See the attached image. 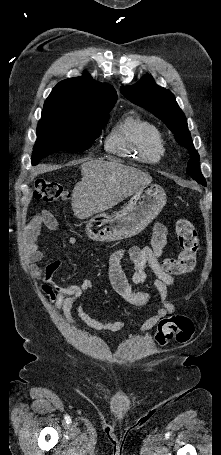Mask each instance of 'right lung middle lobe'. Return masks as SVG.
I'll return each instance as SVG.
<instances>
[{"label":"right lung middle lobe","mask_w":221,"mask_h":455,"mask_svg":"<svg viewBox=\"0 0 221 455\" xmlns=\"http://www.w3.org/2000/svg\"><path fill=\"white\" fill-rule=\"evenodd\" d=\"M110 110L85 118L42 113L37 127L32 164L36 165L40 159L57 151L83 152L89 149L107 124Z\"/></svg>","instance_id":"dd1d6c3e"}]
</instances>
